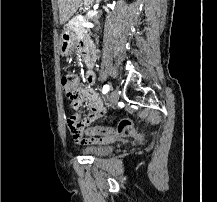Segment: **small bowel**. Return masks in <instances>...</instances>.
Returning a JSON list of instances; mask_svg holds the SVG:
<instances>
[{
	"label": "small bowel",
	"mask_w": 217,
	"mask_h": 202,
	"mask_svg": "<svg viewBox=\"0 0 217 202\" xmlns=\"http://www.w3.org/2000/svg\"><path fill=\"white\" fill-rule=\"evenodd\" d=\"M91 56L96 60L95 47L89 43ZM86 82L89 85L95 83V73L93 70H88L86 73ZM83 97L75 103L78 108L86 101L89 115L84 120L81 119L79 112H75L71 116H76V128L77 131L72 133L73 140L76 143H91V144H105L115 141L120 134L117 131H81V126H90V124L107 114V108L105 107L103 100L99 94L94 90H87L82 92Z\"/></svg>",
	"instance_id": "small-bowel-1"
}]
</instances>
